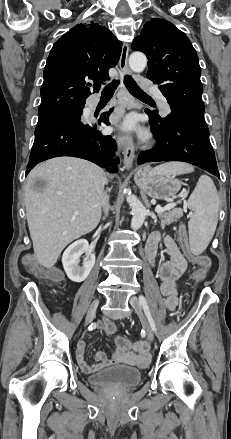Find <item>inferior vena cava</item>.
I'll list each match as a JSON object with an SVG mask.
<instances>
[{
	"label": "inferior vena cava",
	"instance_id": "obj_1",
	"mask_svg": "<svg viewBox=\"0 0 231 439\" xmlns=\"http://www.w3.org/2000/svg\"><path fill=\"white\" fill-rule=\"evenodd\" d=\"M108 201H109L108 195L104 194V198H103L102 203H101L104 210L108 209V207H109Z\"/></svg>",
	"mask_w": 231,
	"mask_h": 439
}]
</instances>
